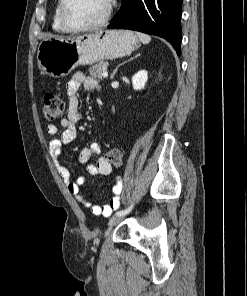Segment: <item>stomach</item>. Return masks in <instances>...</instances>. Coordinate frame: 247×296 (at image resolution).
<instances>
[{"label":"stomach","mask_w":247,"mask_h":296,"mask_svg":"<svg viewBox=\"0 0 247 296\" xmlns=\"http://www.w3.org/2000/svg\"><path fill=\"white\" fill-rule=\"evenodd\" d=\"M140 45L131 31L107 30L71 38L49 37L38 47L40 68L54 78L67 76L78 65L129 55Z\"/></svg>","instance_id":"0dacf381"}]
</instances>
